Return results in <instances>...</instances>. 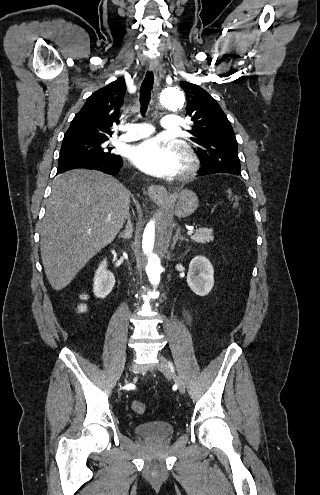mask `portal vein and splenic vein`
<instances>
[{
	"instance_id": "1",
	"label": "portal vein and splenic vein",
	"mask_w": 320,
	"mask_h": 495,
	"mask_svg": "<svg viewBox=\"0 0 320 495\" xmlns=\"http://www.w3.org/2000/svg\"><path fill=\"white\" fill-rule=\"evenodd\" d=\"M192 234H193V230H189V231L187 232V235H192Z\"/></svg>"
}]
</instances>
